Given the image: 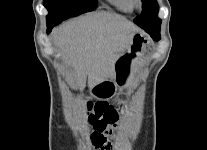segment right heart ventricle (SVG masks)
Segmentation results:
<instances>
[{"instance_id":"1","label":"right heart ventricle","mask_w":207,"mask_h":150,"mask_svg":"<svg viewBox=\"0 0 207 150\" xmlns=\"http://www.w3.org/2000/svg\"><path fill=\"white\" fill-rule=\"evenodd\" d=\"M118 10L129 13L134 9L132 0H108Z\"/></svg>"}]
</instances>
